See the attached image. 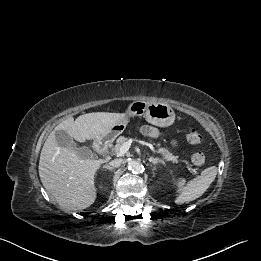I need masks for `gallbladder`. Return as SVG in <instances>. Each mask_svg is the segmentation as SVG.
<instances>
[{
  "label": "gallbladder",
  "mask_w": 261,
  "mask_h": 261,
  "mask_svg": "<svg viewBox=\"0 0 261 261\" xmlns=\"http://www.w3.org/2000/svg\"><path fill=\"white\" fill-rule=\"evenodd\" d=\"M55 137L60 147L74 149L77 154L84 159L89 158L93 155V152L89 147H77L73 138L65 130L56 131Z\"/></svg>",
  "instance_id": "1"
}]
</instances>
